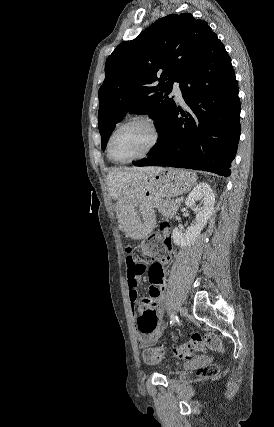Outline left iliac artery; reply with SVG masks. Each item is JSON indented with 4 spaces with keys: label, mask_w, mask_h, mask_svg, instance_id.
Masks as SVG:
<instances>
[{
    "label": "left iliac artery",
    "mask_w": 274,
    "mask_h": 427,
    "mask_svg": "<svg viewBox=\"0 0 274 427\" xmlns=\"http://www.w3.org/2000/svg\"><path fill=\"white\" fill-rule=\"evenodd\" d=\"M176 322H179V320H178V316H177L175 313H173V314L170 316V325L172 326V325H174Z\"/></svg>",
    "instance_id": "1"
}]
</instances>
